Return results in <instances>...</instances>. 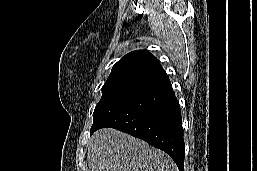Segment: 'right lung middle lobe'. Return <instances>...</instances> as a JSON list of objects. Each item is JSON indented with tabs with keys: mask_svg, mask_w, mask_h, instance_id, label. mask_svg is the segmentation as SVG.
<instances>
[{
	"mask_svg": "<svg viewBox=\"0 0 257 171\" xmlns=\"http://www.w3.org/2000/svg\"><path fill=\"white\" fill-rule=\"evenodd\" d=\"M146 90V86L134 88L103 87L102 97L96 105L93 113V125L91 127L90 134L117 110Z\"/></svg>",
	"mask_w": 257,
	"mask_h": 171,
	"instance_id": "right-lung-middle-lobe-1",
	"label": "right lung middle lobe"
}]
</instances>
